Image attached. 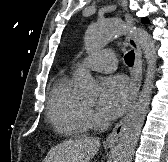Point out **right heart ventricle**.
I'll return each mask as SVG.
<instances>
[{"mask_svg":"<svg viewBox=\"0 0 168 162\" xmlns=\"http://www.w3.org/2000/svg\"><path fill=\"white\" fill-rule=\"evenodd\" d=\"M48 115L53 126L69 136L84 135L89 131L87 108L76 97L70 75H60L50 92Z\"/></svg>","mask_w":168,"mask_h":162,"instance_id":"obj_1","label":"right heart ventricle"}]
</instances>
